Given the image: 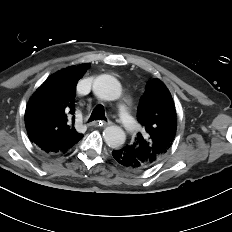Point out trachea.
<instances>
[{
	"mask_svg": "<svg viewBox=\"0 0 232 232\" xmlns=\"http://www.w3.org/2000/svg\"><path fill=\"white\" fill-rule=\"evenodd\" d=\"M94 120H107L105 113H104V108L101 105H98L94 108V110L91 113V116L88 120V122H92Z\"/></svg>",
	"mask_w": 232,
	"mask_h": 232,
	"instance_id": "1",
	"label": "trachea"
}]
</instances>
